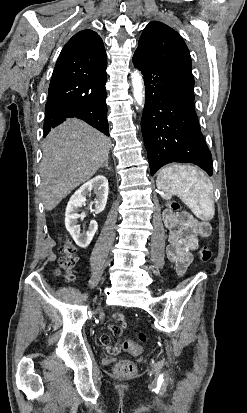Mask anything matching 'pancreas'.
<instances>
[{"mask_svg": "<svg viewBox=\"0 0 247 413\" xmlns=\"http://www.w3.org/2000/svg\"><path fill=\"white\" fill-rule=\"evenodd\" d=\"M163 198H171V194H162Z\"/></svg>", "mask_w": 247, "mask_h": 413, "instance_id": "cf45deb5", "label": "pancreas"}]
</instances>
